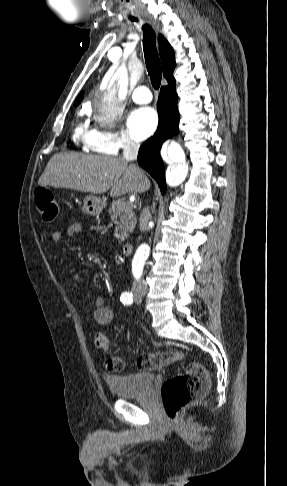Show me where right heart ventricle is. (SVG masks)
Returning a JSON list of instances; mask_svg holds the SVG:
<instances>
[{
    "label": "right heart ventricle",
    "mask_w": 287,
    "mask_h": 486,
    "mask_svg": "<svg viewBox=\"0 0 287 486\" xmlns=\"http://www.w3.org/2000/svg\"><path fill=\"white\" fill-rule=\"evenodd\" d=\"M94 130L84 124H78L73 132V140L77 144L89 148L90 142L93 138Z\"/></svg>",
    "instance_id": "1"
}]
</instances>
